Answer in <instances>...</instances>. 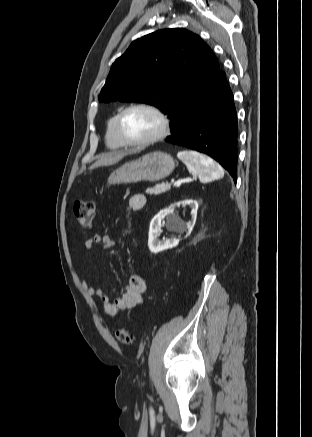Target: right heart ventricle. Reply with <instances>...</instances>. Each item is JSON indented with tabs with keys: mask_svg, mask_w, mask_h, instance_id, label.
Listing matches in <instances>:
<instances>
[{
	"mask_svg": "<svg viewBox=\"0 0 312 437\" xmlns=\"http://www.w3.org/2000/svg\"><path fill=\"white\" fill-rule=\"evenodd\" d=\"M117 115L118 114L116 113L113 116H111V118L107 122V127H106L105 140H106V144L111 149H120L127 146L122 142V140L119 138L116 132L115 122H116Z\"/></svg>",
	"mask_w": 312,
	"mask_h": 437,
	"instance_id": "1",
	"label": "right heart ventricle"
}]
</instances>
